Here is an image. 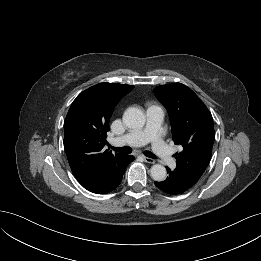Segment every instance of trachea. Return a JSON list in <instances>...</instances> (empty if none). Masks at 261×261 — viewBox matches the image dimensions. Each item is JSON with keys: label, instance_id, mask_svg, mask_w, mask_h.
Listing matches in <instances>:
<instances>
[{"label": "trachea", "instance_id": "3493384b", "mask_svg": "<svg viewBox=\"0 0 261 261\" xmlns=\"http://www.w3.org/2000/svg\"><path fill=\"white\" fill-rule=\"evenodd\" d=\"M111 148L114 151L119 152L121 154H130L132 152V149L130 147H111ZM144 155L149 158H156V156L150 151H145Z\"/></svg>", "mask_w": 261, "mask_h": 261}]
</instances>
